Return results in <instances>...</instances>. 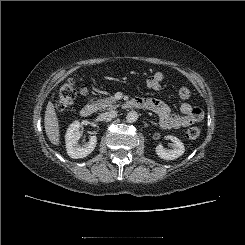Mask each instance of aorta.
I'll list each match as a JSON object with an SVG mask.
<instances>
[{
	"instance_id": "aorta-1",
	"label": "aorta",
	"mask_w": 245,
	"mask_h": 245,
	"mask_svg": "<svg viewBox=\"0 0 245 245\" xmlns=\"http://www.w3.org/2000/svg\"><path fill=\"white\" fill-rule=\"evenodd\" d=\"M137 119H138V113L136 111H131L126 116V120L129 123H133L137 121Z\"/></svg>"
}]
</instances>
